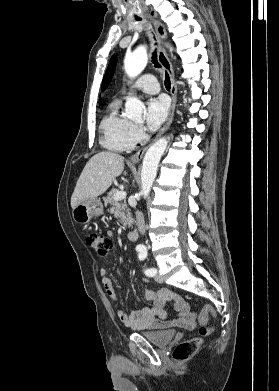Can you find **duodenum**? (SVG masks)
<instances>
[{"label":"duodenum","mask_w":279,"mask_h":391,"mask_svg":"<svg viewBox=\"0 0 279 391\" xmlns=\"http://www.w3.org/2000/svg\"><path fill=\"white\" fill-rule=\"evenodd\" d=\"M128 239L132 242H135L139 239V231L134 228L128 234Z\"/></svg>","instance_id":"410a0bca"}]
</instances>
